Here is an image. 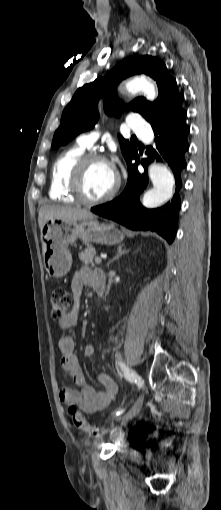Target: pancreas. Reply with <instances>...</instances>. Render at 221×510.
<instances>
[{"instance_id": "cf45deb5", "label": "pancreas", "mask_w": 221, "mask_h": 510, "mask_svg": "<svg viewBox=\"0 0 221 510\" xmlns=\"http://www.w3.org/2000/svg\"><path fill=\"white\" fill-rule=\"evenodd\" d=\"M95 254H96L95 248L88 247L84 251L80 252L78 254V257L85 265H91L92 267H94L93 257Z\"/></svg>"}]
</instances>
